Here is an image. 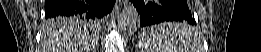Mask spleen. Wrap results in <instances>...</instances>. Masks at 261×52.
Returning a JSON list of instances; mask_svg holds the SVG:
<instances>
[{
  "label": "spleen",
  "instance_id": "spleen-1",
  "mask_svg": "<svg viewBox=\"0 0 261 52\" xmlns=\"http://www.w3.org/2000/svg\"><path fill=\"white\" fill-rule=\"evenodd\" d=\"M180 33L186 35L177 38ZM192 35L193 30L185 23H163L142 33L140 47L142 52H196L199 44Z\"/></svg>",
  "mask_w": 261,
  "mask_h": 52
}]
</instances>
